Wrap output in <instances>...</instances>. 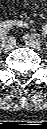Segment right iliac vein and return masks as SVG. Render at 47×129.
Here are the masks:
<instances>
[{
  "label": "right iliac vein",
  "mask_w": 47,
  "mask_h": 129,
  "mask_svg": "<svg viewBox=\"0 0 47 129\" xmlns=\"http://www.w3.org/2000/svg\"><path fill=\"white\" fill-rule=\"evenodd\" d=\"M15 41L12 37L5 38L1 43V48L3 51L8 52L13 49Z\"/></svg>",
  "instance_id": "63e3f726"
}]
</instances>
